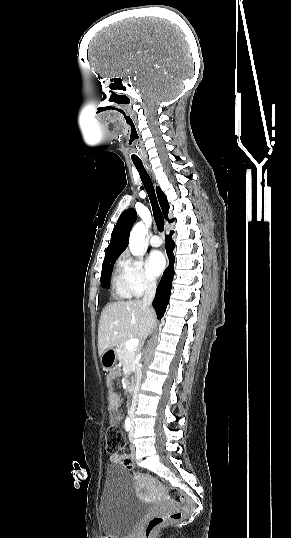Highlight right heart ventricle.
<instances>
[{
    "mask_svg": "<svg viewBox=\"0 0 291 538\" xmlns=\"http://www.w3.org/2000/svg\"><path fill=\"white\" fill-rule=\"evenodd\" d=\"M112 286L116 297L120 300L130 299L133 296L121 263L113 271Z\"/></svg>",
    "mask_w": 291,
    "mask_h": 538,
    "instance_id": "1",
    "label": "right heart ventricle"
}]
</instances>
